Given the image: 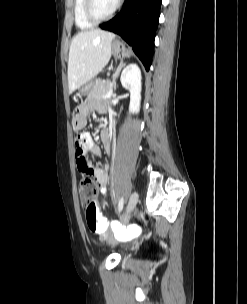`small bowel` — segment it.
<instances>
[{
	"label": "small bowel",
	"mask_w": 247,
	"mask_h": 304,
	"mask_svg": "<svg viewBox=\"0 0 247 304\" xmlns=\"http://www.w3.org/2000/svg\"><path fill=\"white\" fill-rule=\"evenodd\" d=\"M98 112H104L106 107L103 103L99 101L89 100L79 106L74 108L72 130L75 132V139L73 140V145L76 146L75 154L77 158V166L80 172L84 174L92 175L97 183L99 191L102 195H107L108 193V173L106 168H95L93 164L87 160L86 154L92 153L93 155L99 156L100 149L94 142L92 136L88 132H82L83 127L86 125V120L89 113L93 110ZM101 140L107 151L112 150V142L107 130L101 132ZM80 160H84L85 166L80 165Z\"/></svg>",
	"instance_id": "c3829d8e"
}]
</instances>
